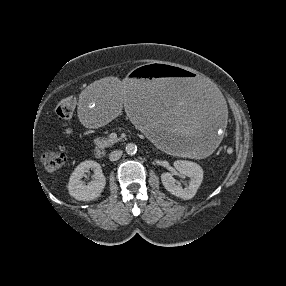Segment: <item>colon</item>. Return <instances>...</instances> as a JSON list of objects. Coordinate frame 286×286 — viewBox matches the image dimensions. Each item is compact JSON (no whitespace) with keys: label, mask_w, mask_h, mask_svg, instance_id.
Instances as JSON below:
<instances>
[{"label":"colon","mask_w":286,"mask_h":286,"mask_svg":"<svg viewBox=\"0 0 286 286\" xmlns=\"http://www.w3.org/2000/svg\"><path fill=\"white\" fill-rule=\"evenodd\" d=\"M76 108V98L67 96L62 98L56 105V115L62 120L70 119ZM43 166L50 172L59 170L66 161V155L61 150H48L41 156Z\"/></svg>","instance_id":"obj_1"}]
</instances>
